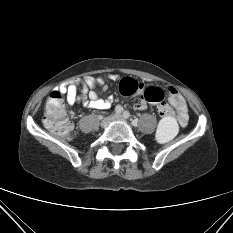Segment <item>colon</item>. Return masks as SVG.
Here are the masks:
<instances>
[{
  "instance_id": "1",
  "label": "colon",
  "mask_w": 233,
  "mask_h": 233,
  "mask_svg": "<svg viewBox=\"0 0 233 233\" xmlns=\"http://www.w3.org/2000/svg\"><path fill=\"white\" fill-rule=\"evenodd\" d=\"M119 89L123 95H133L141 93L143 86L138 81L125 78L121 81ZM142 97L148 102L160 104L159 113L162 117L157 131L156 137L160 143H168L172 141L178 130V123L174 117L172 110L164 102L165 94L158 87H148L142 92ZM44 125L53 133L69 138L72 132V123L69 121L64 108V102L59 91L51 93L45 107L43 118Z\"/></svg>"
}]
</instances>
